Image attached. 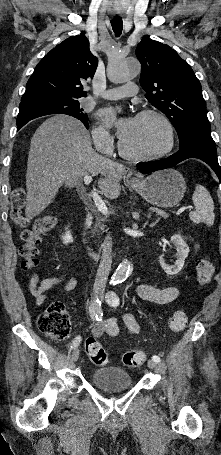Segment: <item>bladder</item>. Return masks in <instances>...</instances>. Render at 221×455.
<instances>
[{
	"mask_svg": "<svg viewBox=\"0 0 221 455\" xmlns=\"http://www.w3.org/2000/svg\"><path fill=\"white\" fill-rule=\"evenodd\" d=\"M90 381L97 389L107 392L125 390L133 386L130 374L117 366L102 367L91 371Z\"/></svg>",
	"mask_w": 221,
	"mask_h": 455,
	"instance_id": "31cf9c89",
	"label": "bladder"
}]
</instances>
